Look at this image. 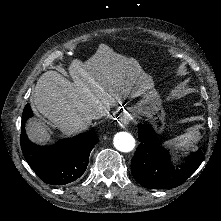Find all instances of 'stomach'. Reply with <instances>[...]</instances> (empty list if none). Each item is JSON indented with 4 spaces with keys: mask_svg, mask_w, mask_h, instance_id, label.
<instances>
[{
    "mask_svg": "<svg viewBox=\"0 0 221 221\" xmlns=\"http://www.w3.org/2000/svg\"><path fill=\"white\" fill-rule=\"evenodd\" d=\"M161 102V95L159 93L145 90L141 93L139 100L129 108L125 115L128 118H143L156 134L161 135L166 129L167 120V113L164 106L160 105Z\"/></svg>",
    "mask_w": 221,
    "mask_h": 221,
    "instance_id": "0dacf381",
    "label": "stomach"
}]
</instances>
